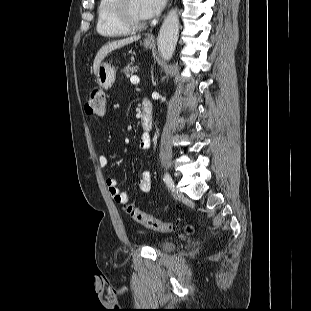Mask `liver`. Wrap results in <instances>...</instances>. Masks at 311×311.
Masks as SVG:
<instances>
[{"label":"liver","instance_id":"6515ba94","mask_svg":"<svg viewBox=\"0 0 311 311\" xmlns=\"http://www.w3.org/2000/svg\"><path fill=\"white\" fill-rule=\"evenodd\" d=\"M140 39V36H132V37H128L125 39H121V40H117V41H113L111 43H108L107 45H104L97 53L95 59H94V63H93V71L94 74H96V71L98 69V66L100 65V63L102 62V60L107 56L108 53H110L111 51L121 48L125 45L131 44L134 41H138Z\"/></svg>","mask_w":311,"mask_h":311}]
</instances>
